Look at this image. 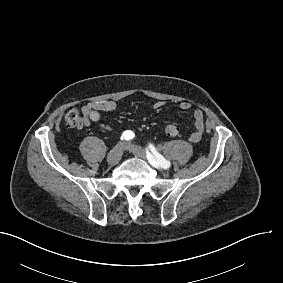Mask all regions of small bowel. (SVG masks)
<instances>
[{"instance_id":"obj_1","label":"small bowel","mask_w":283,"mask_h":283,"mask_svg":"<svg viewBox=\"0 0 283 283\" xmlns=\"http://www.w3.org/2000/svg\"><path fill=\"white\" fill-rule=\"evenodd\" d=\"M152 107L154 110L160 111L164 109L165 103L163 101H155ZM116 108L117 104L113 100L89 102L82 107V117L80 118V126H89L91 122H99L102 118V112L114 111ZM179 108L182 111H188L191 109V104L187 101H182L179 104ZM192 116L193 131L189 135L188 140L191 143H197L201 140L204 132V113L201 109H195L193 111Z\"/></svg>"}]
</instances>
